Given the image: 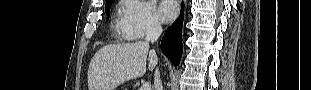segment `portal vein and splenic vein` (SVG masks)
Returning <instances> with one entry per match:
<instances>
[{
	"mask_svg": "<svg viewBox=\"0 0 311 90\" xmlns=\"http://www.w3.org/2000/svg\"><path fill=\"white\" fill-rule=\"evenodd\" d=\"M140 90H151V84H150L149 82H145V83L141 86Z\"/></svg>",
	"mask_w": 311,
	"mask_h": 90,
	"instance_id": "18ae733b",
	"label": "portal vein and splenic vein"
}]
</instances>
